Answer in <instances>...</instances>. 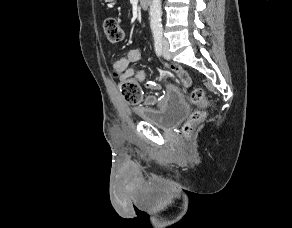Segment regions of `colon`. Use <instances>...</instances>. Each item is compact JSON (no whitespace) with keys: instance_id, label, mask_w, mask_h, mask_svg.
<instances>
[{"instance_id":"1","label":"colon","mask_w":292,"mask_h":228,"mask_svg":"<svg viewBox=\"0 0 292 228\" xmlns=\"http://www.w3.org/2000/svg\"><path fill=\"white\" fill-rule=\"evenodd\" d=\"M103 30L105 37L111 43L121 42L124 38V31L118 19L115 17H107L103 22ZM115 75H117L114 72ZM119 89L124 99L131 105H137L142 98V92L137 82L131 78L120 80ZM190 100L196 104L199 109L194 111L188 122L185 124L184 131L189 133L192 126L200 122L205 112L203 108L206 106V97L202 88L195 87L190 92Z\"/></svg>"}]
</instances>
